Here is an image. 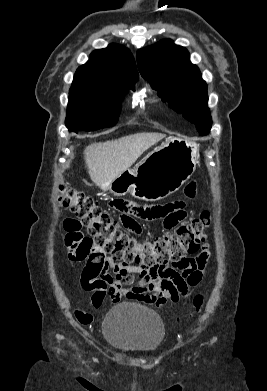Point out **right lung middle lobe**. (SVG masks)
I'll list each match as a JSON object with an SVG mask.
<instances>
[{"label":"right lung middle lobe","instance_id":"1","mask_svg":"<svg viewBox=\"0 0 267 391\" xmlns=\"http://www.w3.org/2000/svg\"><path fill=\"white\" fill-rule=\"evenodd\" d=\"M123 92H109L99 87L73 83L65 120L69 131H92L111 127L118 121Z\"/></svg>","mask_w":267,"mask_h":391}]
</instances>
